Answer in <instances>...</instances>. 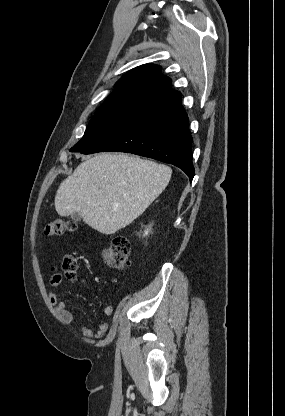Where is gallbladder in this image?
I'll return each instance as SVG.
<instances>
[{"mask_svg":"<svg viewBox=\"0 0 285 416\" xmlns=\"http://www.w3.org/2000/svg\"><path fill=\"white\" fill-rule=\"evenodd\" d=\"M71 218H73L75 222H80L81 220V216H79V214H71Z\"/></svg>","mask_w":285,"mask_h":416,"instance_id":"1","label":"gallbladder"}]
</instances>
